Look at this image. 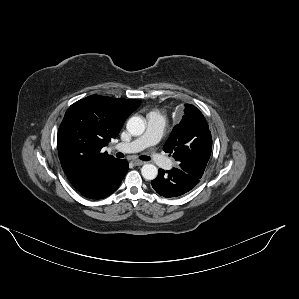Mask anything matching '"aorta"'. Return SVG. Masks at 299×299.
<instances>
[{"instance_id": "obj_1", "label": "aorta", "mask_w": 299, "mask_h": 299, "mask_svg": "<svg viewBox=\"0 0 299 299\" xmlns=\"http://www.w3.org/2000/svg\"><path fill=\"white\" fill-rule=\"evenodd\" d=\"M126 128L131 135L139 136L145 131L146 121L140 116H133L128 120ZM141 174L146 180H154L158 175V169L153 164H145L141 168Z\"/></svg>"}]
</instances>
